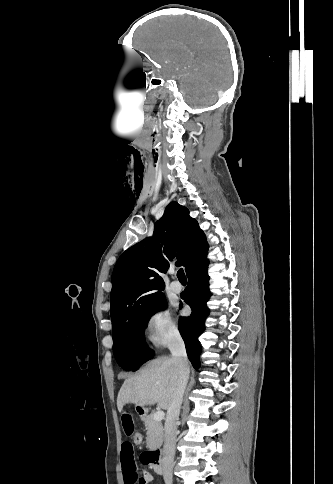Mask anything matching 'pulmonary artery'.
I'll return each instance as SVG.
<instances>
[{
  "instance_id": "pulmonary-artery-1",
  "label": "pulmonary artery",
  "mask_w": 333,
  "mask_h": 484,
  "mask_svg": "<svg viewBox=\"0 0 333 484\" xmlns=\"http://www.w3.org/2000/svg\"><path fill=\"white\" fill-rule=\"evenodd\" d=\"M170 288L175 293H180L183 290V286L178 280L172 281L170 284Z\"/></svg>"
}]
</instances>
